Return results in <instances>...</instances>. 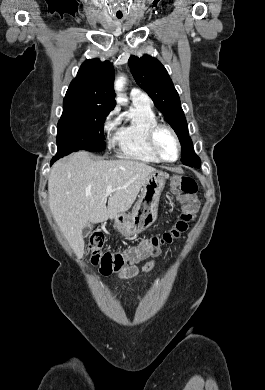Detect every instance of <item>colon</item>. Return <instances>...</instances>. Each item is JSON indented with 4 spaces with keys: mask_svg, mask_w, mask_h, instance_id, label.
I'll list each match as a JSON object with an SVG mask.
<instances>
[{
    "mask_svg": "<svg viewBox=\"0 0 265 390\" xmlns=\"http://www.w3.org/2000/svg\"><path fill=\"white\" fill-rule=\"evenodd\" d=\"M174 192L188 198L182 207V212L175 225L168 231L142 240L137 246L126 251H104L105 237L101 230L96 229L89 237L87 254L92 265L99 268L102 275L119 273L135 263L160 254L162 247L171 244L187 232L190 223L195 219L198 202L196 181L186 175L174 176L171 180Z\"/></svg>",
    "mask_w": 265,
    "mask_h": 390,
    "instance_id": "obj_1",
    "label": "colon"
}]
</instances>
